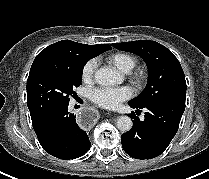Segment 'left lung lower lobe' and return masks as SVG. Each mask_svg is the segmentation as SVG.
Listing matches in <instances>:
<instances>
[{
	"label": "left lung lower lobe",
	"instance_id": "0a47b994",
	"mask_svg": "<svg viewBox=\"0 0 209 179\" xmlns=\"http://www.w3.org/2000/svg\"><path fill=\"white\" fill-rule=\"evenodd\" d=\"M130 107L145 108L144 121L132 115L133 127L121 135L124 151L136 159H151L162 154L175 136L182 114L185 110L184 99L160 101L139 107L128 103Z\"/></svg>",
	"mask_w": 209,
	"mask_h": 179
}]
</instances>
